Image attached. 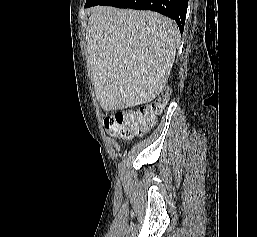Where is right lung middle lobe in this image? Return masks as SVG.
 <instances>
[{
  "label": "right lung middle lobe",
  "mask_w": 257,
  "mask_h": 237,
  "mask_svg": "<svg viewBox=\"0 0 257 237\" xmlns=\"http://www.w3.org/2000/svg\"><path fill=\"white\" fill-rule=\"evenodd\" d=\"M106 0H86L85 7H91L95 5H102Z\"/></svg>",
  "instance_id": "1"
}]
</instances>
